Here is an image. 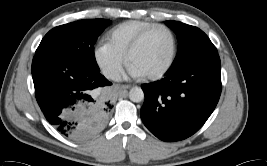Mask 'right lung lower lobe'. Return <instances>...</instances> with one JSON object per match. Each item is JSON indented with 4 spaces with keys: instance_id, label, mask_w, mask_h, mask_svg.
Instances as JSON below:
<instances>
[{
    "instance_id": "98d812e1",
    "label": "right lung lower lobe",
    "mask_w": 267,
    "mask_h": 166,
    "mask_svg": "<svg viewBox=\"0 0 267 166\" xmlns=\"http://www.w3.org/2000/svg\"><path fill=\"white\" fill-rule=\"evenodd\" d=\"M32 76L36 99L45 117L66 134L73 131L72 125L62 120L66 108L91 102V90L111 85L99 71L51 51L36 53Z\"/></svg>"
}]
</instances>
